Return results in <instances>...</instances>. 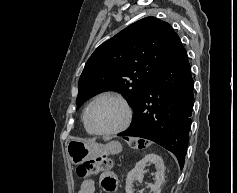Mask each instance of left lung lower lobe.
I'll use <instances>...</instances> for the list:
<instances>
[{"label": "left lung lower lobe", "instance_id": "1", "mask_svg": "<svg viewBox=\"0 0 237 193\" xmlns=\"http://www.w3.org/2000/svg\"><path fill=\"white\" fill-rule=\"evenodd\" d=\"M193 79L182 43L155 76L132 125L118 136L151 140L175 154L184 166L194 104Z\"/></svg>", "mask_w": 237, "mask_h": 193}]
</instances>
